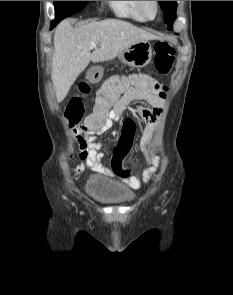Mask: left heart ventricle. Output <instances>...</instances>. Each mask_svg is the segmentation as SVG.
<instances>
[{"label": "left heart ventricle", "instance_id": "1", "mask_svg": "<svg viewBox=\"0 0 233 295\" xmlns=\"http://www.w3.org/2000/svg\"><path fill=\"white\" fill-rule=\"evenodd\" d=\"M143 6H144V11L145 13L152 17L155 14V5L153 3V1H143Z\"/></svg>", "mask_w": 233, "mask_h": 295}]
</instances>
